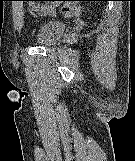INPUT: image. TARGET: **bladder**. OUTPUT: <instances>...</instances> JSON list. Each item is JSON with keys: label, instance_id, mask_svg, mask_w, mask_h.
<instances>
[{"label": "bladder", "instance_id": "obj_1", "mask_svg": "<svg viewBox=\"0 0 135 161\" xmlns=\"http://www.w3.org/2000/svg\"><path fill=\"white\" fill-rule=\"evenodd\" d=\"M65 24L59 20H47L35 31L32 40L35 43L48 45L55 43L64 33Z\"/></svg>", "mask_w": 135, "mask_h": 161}]
</instances>
